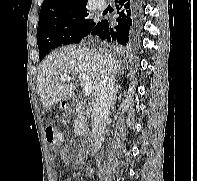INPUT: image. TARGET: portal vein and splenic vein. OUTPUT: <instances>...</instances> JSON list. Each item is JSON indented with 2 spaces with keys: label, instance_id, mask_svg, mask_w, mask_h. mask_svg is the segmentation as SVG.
I'll use <instances>...</instances> for the list:
<instances>
[{
  "label": "portal vein and splenic vein",
  "instance_id": "18ae733b",
  "mask_svg": "<svg viewBox=\"0 0 197 181\" xmlns=\"http://www.w3.org/2000/svg\"><path fill=\"white\" fill-rule=\"evenodd\" d=\"M79 80L83 82V93L85 96H88L92 91V80L87 74H80ZM61 81H70L71 77L69 75H61L60 76Z\"/></svg>",
  "mask_w": 197,
  "mask_h": 181
}]
</instances>
